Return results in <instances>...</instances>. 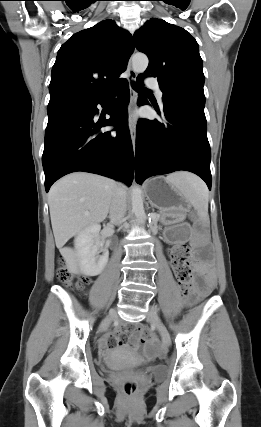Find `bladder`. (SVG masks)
Instances as JSON below:
<instances>
[{
    "label": "bladder",
    "mask_w": 261,
    "mask_h": 427,
    "mask_svg": "<svg viewBox=\"0 0 261 427\" xmlns=\"http://www.w3.org/2000/svg\"><path fill=\"white\" fill-rule=\"evenodd\" d=\"M150 374L155 378H161L165 374V369L162 366H154L150 369Z\"/></svg>",
    "instance_id": "obj_1"
}]
</instances>
